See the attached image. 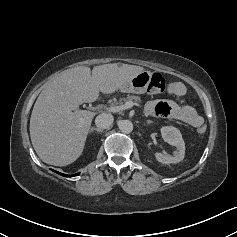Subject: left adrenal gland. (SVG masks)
<instances>
[{
  "label": "left adrenal gland",
  "instance_id": "a2214340",
  "mask_svg": "<svg viewBox=\"0 0 237 237\" xmlns=\"http://www.w3.org/2000/svg\"><path fill=\"white\" fill-rule=\"evenodd\" d=\"M147 123H148V124H150V123H151V121H147Z\"/></svg>",
  "mask_w": 237,
  "mask_h": 237
}]
</instances>
